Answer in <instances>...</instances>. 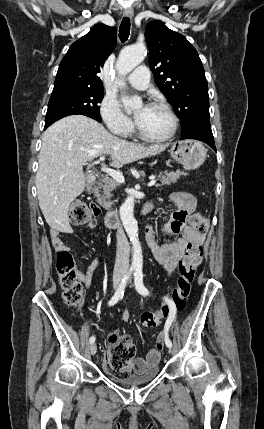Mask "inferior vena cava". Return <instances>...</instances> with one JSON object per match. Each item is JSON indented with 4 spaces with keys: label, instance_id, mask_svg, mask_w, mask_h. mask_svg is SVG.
Listing matches in <instances>:
<instances>
[{
    "label": "inferior vena cava",
    "instance_id": "602c4592",
    "mask_svg": "<svg viewBox=\"0 0 264 429\" xmlns=\"http://www.w3.org/2000/svg\"><path fill=\"white\" fill-rule=\"evenodd\" d=\"M117 235L118 240L115 242V248L118 249L116 251L117 258L115 263V269L121 272H125L129 266V255H132V250L129 245V240H126L124 236V228L122 223L118 224Z\"/></svg>",
    "mask_w": 264,
    "mask_h": 429
}]
</instances>
